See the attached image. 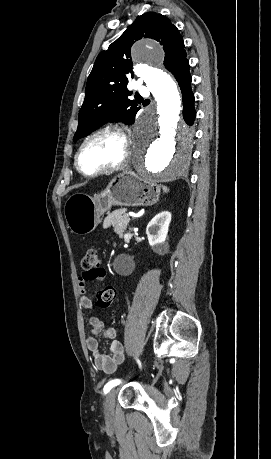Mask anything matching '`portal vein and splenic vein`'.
Wrapping results in <instances>:
<instances>
[{
  "label": "portal vein and splenic vein",
  "mask_w": 271,
  "mask_h": 459,
  "mask_svg": "<svg viewBox=\"0 0 271 459\" xmlns=\"http://www.w3.org/2000/svg\"><path fill=\"white\" fill-rule=\"evenodd\" d=\"M130 213H131V212H130ZM130 215H131V214H130ZM130 215L128 214V212H125V215H124V216H125V217H126V216L129 217Z\"/></svg>",
  "instance_id": "obj_1"
}]
</instances>
